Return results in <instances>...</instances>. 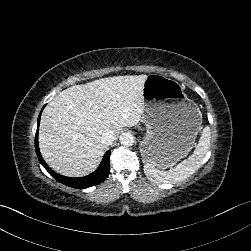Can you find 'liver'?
<instances>
[{"mask_svg": "<svg viewBox=\"0 0 251 251\" xmlns=\"http://www.w3.org/2000/svg\"><path fill=\"white\" fill-rule=\"evenodd\" d=\"M147 75H122L73 85L44 109L38 146L46 164L57 174L85 177L104 155L101 136L118 134L138 123L143 112V82Z\"/></svg>", "mask_w": 251, "mask_h": 251, "instance_id": "obj_1", "label": "liver"}]
</instances>
